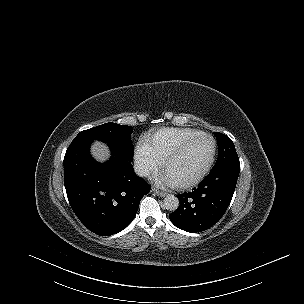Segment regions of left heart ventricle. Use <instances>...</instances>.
<instances>
[{
	"label": "left heart ventricle",
	"mask_w": 304,
	"mask_h": 304,
	"mask_svg": "<svg viewBox=\"0 0 304 304\" xmlns=\"http://www.w3.org/2000/svg\"><path fill=\"white\" fill-rule=\"evenodd\" d=\"M212 148L213 144L209 138H201L194 142L170 163L168 176L176 183L193 179L208 162Z\"/></svg>",
	"instance_id": "1"
}]
</instances>
